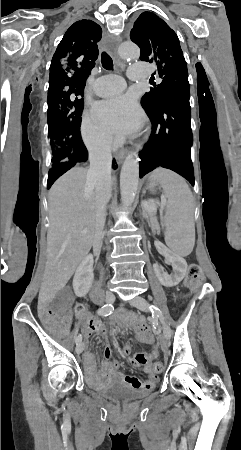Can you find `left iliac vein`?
Listing matches in <instances>:
<instances>
[{"label":"left iliac vein","mask_w":241,"mask_h":450,"mask_svg":"<svg viewBox=\"0 0 241 450\" xmlns=\"http://www.w3.org/2000/svg\"><path fill=\"white\" fill-rule=\"evenodd\" d=\"M130 304L144 312L149 311L147 301L145 300V298H143L141 296H137V297L133 298V300L130 301ZM156 322H157V319H156ZM160 327L163 331V336L161 337V341L163 344H165L170 340L171 329H170L169 325H167L166 323H162Z\"/></svg>","instance_id":"1"}]
</instances>
